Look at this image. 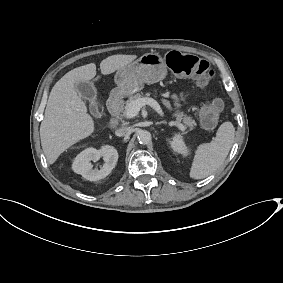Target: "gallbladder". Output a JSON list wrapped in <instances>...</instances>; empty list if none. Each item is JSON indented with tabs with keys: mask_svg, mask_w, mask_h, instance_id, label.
Wrapping results in <instances>:
<instances>
[{
	"mask_svg": "<svg viewBox=\"0 0 283 283\" xmlns=\"http://www.w3.org/2000/svg\"><path fill=\"white\" fill-rule=\"evenodd\" d=\"M76 90L81 97H87L91 100L96 99L98 95L97 90L89 82H80L76 85Z\"/></svg>",
	"mask_w": 283,
	"mask_h": 283,
	"instance_id": "gallbladder-1",
	"label": "gallbladder"
}]
</instances>
